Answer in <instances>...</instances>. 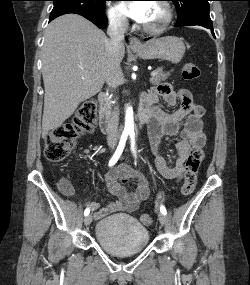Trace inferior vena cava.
<instances>
[{
  "mask_svg": "<svg viewBox=\"0 0 250 285\" xmlns=\"http://www.w3.org/2000/svg\"><path fill=\"white\" fill-rule=\"evenodd\" d=\"M129 23L126 17L114 14L110 17L107 34L110 39L107 42V59L104 67L105 81L111 89L116 90L121 84L123 73L120 67V48L123 45L125 33ZM119 108L114 107L112 117L109 120L107 142L110 146L117 143L119 133Z\"/></svg>",
  "mask_w": 250,
  "mask_h": 285,
  "instance_id": "inferior-vena-cava-1",
  "label": "inferior vena cava"
}]
</instances>
